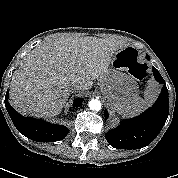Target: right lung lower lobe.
<instances>
[{
	"label": "right lung lower lobe",
	"instance_id": "right-lung-lower-lobe-1",
	"mask_svg": "<svg viewBox=\"0 0 178 178\" xmlns=\"http://www.w3.org/2000/svg\"><path fill=\"white\" fill-rule=\"evenodd\" d=\"M6 93L5 106L10 118L17 130L27 138L39 142H55L63 139L68 134V129L63 125L50 124L48 122L25 118L15 111L7 101ZM83 99L78 98L74 101V107H79Z\"/></svg>",
	"mask_w": 178,
	"mask_h": 178
}]
</instances>
